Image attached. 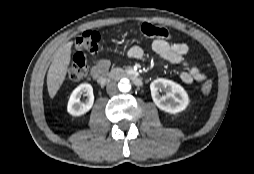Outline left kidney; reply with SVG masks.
<instances>
[{
    "mask_svg": "<svg viewBox=\"0 0 254 174\" xmlns=\"http://www.w3.org/2000/svg\"><path fill=\"white\" fill-rule=\"evenodd\" d=\"M166 91V95H160L159 91ZM151 96L155 105L168 113L176 114L184 111L189 104V97L184 88L164 78H158L150 84Z\"/></svg>",
    "mask_w": 254,
    "mask_h": 174,
    "instance_id": "left-kidney-1",
    "label": "left kidney"
}]
</instances>
